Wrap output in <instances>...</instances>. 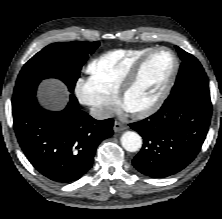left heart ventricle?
<instances>
[{"label": "left heart ventricle", "instance_id": "left-heart-ventricle-1", "mask_svg": "<svg viewBox=\"0 0 222 219\" xmlns=\"http://www.w3.org/2000/svg\"><path fill=\"white\" fill-rule=\"evenodd\" d=\"M173 63V57L168 52L152 55L145 63L135 86L126 96L125 107L129 111H135L152 104L162 91Z\"/></svg>", "mask_w": 222, "mask_h": 219}]
</instances>
